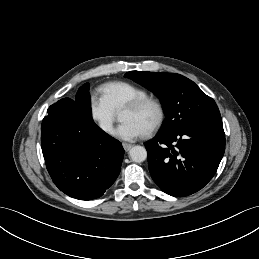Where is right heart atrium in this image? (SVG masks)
Listing matches in <instances>:
<instances>
[{
	"mask_svg": "<svg viewBox=\"0 0 259 259\" xmlns=\"http://www.w3.org/2000/svg\"><path fill=\"white\" fill-rule=\"evenodd\" d=\"M89 109L92 120L104 134H109L112 130L116 118L115 111L108 102L97 94H92L89 100Z\"/></svg>",
	"mask_w": 259,
	"mask_h": 259,
	"instance_id": "d8ad5b80",
	"label": "right heart atrium"
}]
</instances>
